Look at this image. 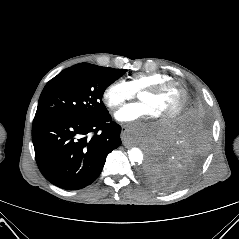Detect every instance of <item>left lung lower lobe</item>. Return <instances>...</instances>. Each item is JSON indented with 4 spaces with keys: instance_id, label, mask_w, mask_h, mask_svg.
<instances>
[{
    "instance_id": "0a47b994",
    "label": "left lung lower lobe",
    "mask_w": 239,
    "mask_h": 239,
    "mask_svg": "<svg viewBox=\"0 0 239 239\" xmlns=\"http://www.w3.org/2000/svg\"><path fill=\"white\" fill-rule=\"evenodd\" d=\"M208 137L207 115L200 99L194 97L151 151L144 171L147 181L165 191L190 181L204 159Z\"/></svg>"
}]
</instances>
